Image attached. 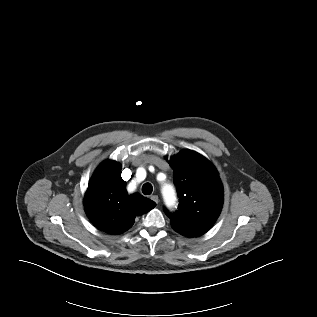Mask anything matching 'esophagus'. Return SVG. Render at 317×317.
Returning <instances> with one entry per match:
<instances>
[{"mask_svg":"<svg viewBox=\"0 0 317 317\" xmlns=\"http://www.w3.org/2000/svg\"><path fill=\"white\" fill-rule=\"evenodd\" d=\"M150 198H151V200H153L155 203H158V202H159V197H158V195H152Z\"/></svg>","mask_w":317,"mask_h":317,"instance_id":"obj_1","label":"esophagus"}]
</instances>
